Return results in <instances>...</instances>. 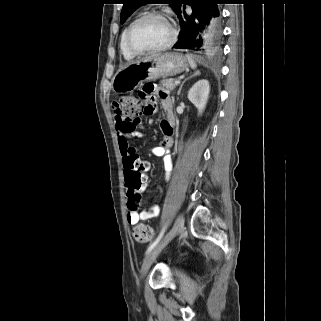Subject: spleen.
Here are the masks:
<instances>
[{
  "mask_svg": "<svg viewBox=\"0 0 321 321\" xmlns=\"http://www.w3.org/2000/svg\"><path fill=\"white\" fill-rule=\"evenodd\" d=\"M186 58H187V60H188V63H189V65H190V67H191L192 69H195V68L197 67V65H196V63H195L192 55H191V54H186Z\"/></svg>",
  "mask_w": 321,
  "mask_h": 321,
  "instance_id": "1",
  "label": "spleen"
}]
</instances>
